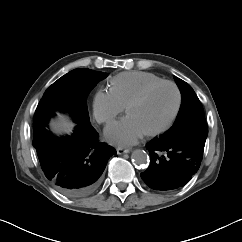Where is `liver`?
I'll list each match as a JSON object with an SVG mask.
<instances>
[{"mask_svg": "<svg viewBox=\"0 0 242 242\" xmlns=\"http://www.w3.org/2000/svg\"><path fill=\"white\" fill-rule=\"evenodd\" d=\"M51 124L58 132H70L73 127V124L68 122L64 117H61L58 121L52 122Z\"/></svg>", "mask_w": 242, "mask_h": 242, "instance_id": "obj_1", "label": "liver"}]
</instances>
